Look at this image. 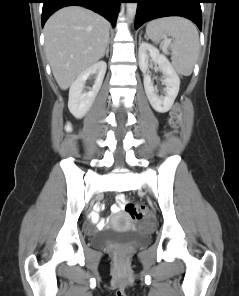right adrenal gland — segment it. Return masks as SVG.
<instances>
[{
	"instance_id": "right-adrenal-gland-1",
	"label": "right adrenal gland",
	"mask_w": 239,
	"mask_h": 296,
	"mask_svg": "<svg viewBox=\"0 0 239 296\" xmlns=\"http://www.w3.org/2000/svg\"><path fill=\"white\" fill-rule=\"evenodd\" d=\"M106 55V57H108L109 55V43L107 44V47H106V51L105 53L103 54L102 58Z\"/></svg>"
}]
</instances>
